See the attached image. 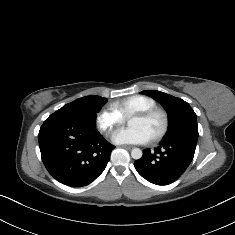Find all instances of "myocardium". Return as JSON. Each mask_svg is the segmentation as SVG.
I'll use <instances>...</instances> for the list:
<instances>
[{
  "mask_svg": "<svg viewBox=\"0 0 235 235\" xmlns=\"http://www.w3.org/2000/svg\"><path fill=\"white\" fill-rule=\"evenodd\" d=\"M156 115H158L162 118L163 127H162V129L160 130L159 133H157L155 136H153L150 139L151 143L159 142L168 133L169 128H170V118H169L168 113L165 110L161 109V108L154 107V108H150L146 111L138 112L134 116V117H137V118H140V119H143V120H149V119H151L152 117H154Z\"/></svg>",
  "mask_w": 235,
  "mask_h": 235,
  "instance_id": "obj_1",
  "label": "myocardium"
}]
</instances>
